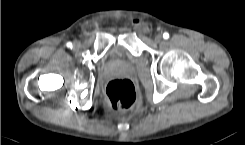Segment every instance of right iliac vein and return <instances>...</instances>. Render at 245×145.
Returning <instances> with one entry per match:
<instances>
[{"label":"right iliac vein","mask_w":245,"mask_h":145,"mask_svg":"<svg viewBox=\"0 0 245 145\" xmlns=\"http://www.w3.org/2000/svg\"><path fill=\"white\" fill-rule=\"evenodd\" d=\"M74 49H78L80 46V42L79 41H74L73 43Z\"/></svg>","instance_id":"obj_1"}]
</instances>
